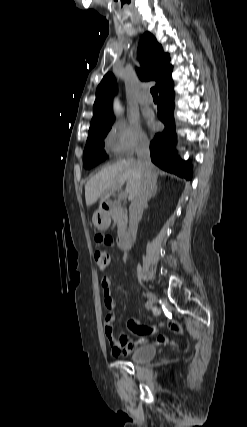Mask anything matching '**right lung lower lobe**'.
I'll return each mask as SVG.
<instances>
[{"label":"right lung lower lobe","instance_id":"obj_1","mask_svg":"<svg viewBox=\"0 0 247 427\" xmlns=\"http://www.w3.org/2000/svg\"><path fill=\"white\" fill-rule=\"evenodd\" d=\"M158 118L164 123L162 133L155 135L150 144L151 160L154 164L169 172H175L186 179L192 178L190 163L183 162L174 147L176 144L175 123L173 118L174 91L172 79L159 90Z\"/></svg>","mask_w":247,"mask_h":427}]
</instances>
